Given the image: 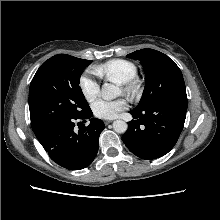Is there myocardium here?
Masks as SVG:
<instances>
[{
    "label": "myocardium",
    "instance_id": "f54148a6",
    "mask_svg": "<svg viewBox=\"0 0 220 220\" xmlns=\"http://www.w3.org/2000/svg\"><path fill=\"white\" fill-rule=\"evenodd\" d=\"M120 85L123 92L128 96L135 97L140 93V85L135 78Z\"/></svg>",
    "mask_w": 220,
    "mask_h": 220
}]
</instances>
